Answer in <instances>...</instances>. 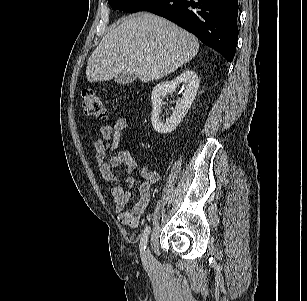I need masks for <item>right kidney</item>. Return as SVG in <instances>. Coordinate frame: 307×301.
<instances>
[{"mask_svg": "<svg viewBox=\"0 0 307 301\" xmlns=\"http://www.w3.org/2000/svg\"><path fill=\"white\" fill-rule=\"evenodd\" d=\"M180 84H182V87L185 89L183 97L176 101V106L171 117L166 119V122H162L159 119V114L163 105V98L167 94L173 93ZM198 86L199 79L197 74L193 70L186 69L173 80L163 81L153 88L151 95L153 107L151 122L156 132L160 134H167L176 129L191 107V104L195 99Z\"/></svg>", "mask_w": 307, "mask_h": 301, "instance_id": "obj_1", "label": "right kidney"}]
</instances>
